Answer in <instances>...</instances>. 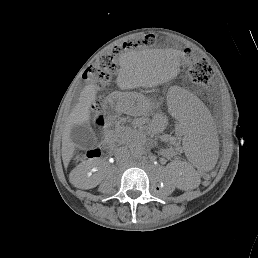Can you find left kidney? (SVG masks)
<instances>
[{"mask_svg": "<svg viewBox=\"0 0 258 258\" xmlns=\"http://www.w3.org/2000/svg\"><path fill=\"white\" fill-rule=\"evenodd\" d=\"M186 169L187 170L183 171V174L181 172V177L176 183L177 188L181 190L194 189V173L190 171V168Z\"/></svg>", "mask_w": 258, "mask_h": 258, "instance_id": "left-kidney-1", "label": "left kidney"}]
</instances>
